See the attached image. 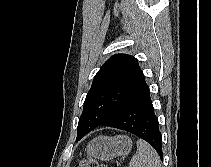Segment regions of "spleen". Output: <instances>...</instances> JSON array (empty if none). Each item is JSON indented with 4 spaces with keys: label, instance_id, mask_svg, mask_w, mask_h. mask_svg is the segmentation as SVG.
Instances as JSON below:
<instances>
[{
    "label": "spleen",
    "instance_id": "1",
    "mask_svg": "<svg viewBox=\"0 0 211 167\" xmlns=\"http://www.w3.org/2000/svg\"><path fill=\"white\" fill-rule=\"evenodd\" d=\"M129 167H161L158 153L146 141H137V152L129 162Z\"/></svg>",
    "mask_w": 211,
    "mask_h": 167
}]
</instances>
